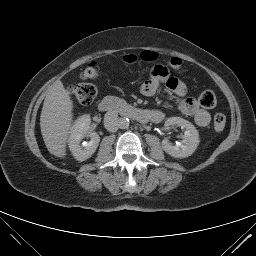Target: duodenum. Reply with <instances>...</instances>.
I'll list each match as a JSON object with an SVG mask.
<instances>
[{
	"mask_svg": "<svg viewBox=\"0 0 256 256\" xmlns=\"http://www.w3.org/2000/svg\"><path fill=\"white\" fill-rule=\"evenodd\" d=\"M98 109L101 112H117L133 118L140 123H147L150 121L158 122L162 118V115L157 112L132 106L113 96H108L102 99L98 105Z\"/></svg>",
	"mask_w": 256,
	"mask_h": 256,
	"instance_id": "obj_1",
	"label": "duodenum"
}]
</instances>
